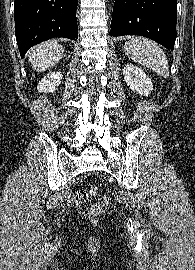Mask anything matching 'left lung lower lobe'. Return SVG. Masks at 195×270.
<instances>
[{
  "label": "left lung lower lobe",
  "mask_w": 195,
  "mask_h": 270,
  "mask_svg": "<svg viewBox=\"0 0 195 270\" xmlns=\"http://www.w3.org/2000/svg\"><path fill=\"white\" fill-rule=\"evenodd\" d=\"M177 0H115L111 36L139 35L173 50Z\"/></svg>",
  "instance_id": "0a47b994"
}]
</instances>
